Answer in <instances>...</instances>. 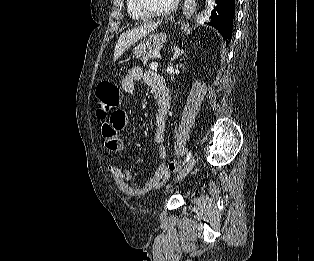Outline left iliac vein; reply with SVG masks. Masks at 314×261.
<instances>
[{"mask_svg": "<svg viewBox=\"0 0 314 261\" xmlns=\"http://www.w3.org/2000/svg\"><path fill=\"white\" fill-rule=\"evenodd\" d=\"M195 165V158L192 157L190 160L187 162V164L184 166L183 170L179 173V175L176 178V181H179L183 178H185L193 169Z\"/></svg>", "mask_w": 314, "mask_h": 261, "instance_id": "4c4485c4", "label": "left iliac vein"}]
</instances>
